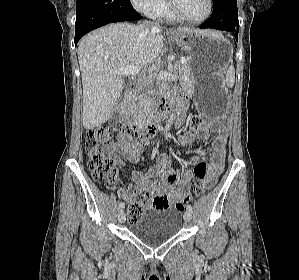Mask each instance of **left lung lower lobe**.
I'll list each match as a JSON object with an SVG mask.
<instances>
[{
    "mask_svg": "<svg viewBox=\"0 0 299 280\" xmlns=\"http://www.w3.org/2000/svg\"><path fill=\"white\" fill-rule=\"evenodd\" d=\"M213 3L212 15L200 28L230 31L237 40L239 30L237 0H213Z\"/></svg>",
    "mask_w": 299,
    "mask_h": 280,
    "instance_id": "1",
    "label": "left lung lower lobe"
}]
</instances>
